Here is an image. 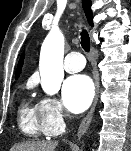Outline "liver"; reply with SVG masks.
Returning <instances> with one entry per match:
<instances>
[{"label": "liver", "mask_w": 131, "mask_h": 151, "mask_svg": "<svg viewBox=\"0 0 131 151\" xmlns=\"http://www.w3.org/2000/svg\"><path fill=\"white\" fill-rule=\"evenodd\" d=\"M57 142L51 141H36L26 142L14 146L11 151H54Z\"/></svg>", "instance_id": "obj_1"}]
</instances>
